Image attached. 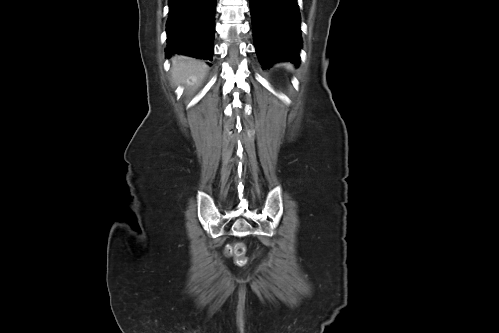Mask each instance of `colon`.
I'll return each mask as SVG.
<instances>
[{
	"label": "colon",
	"mask_w": 499,
	"mask_h": 333,
	"mask_svg": "<svg viewBox=\"0 0 499 333\" xmlns=\"http://www.w3.org/2000/svg\"><path fill=\"white\" fill-rule=\"evenodd\" d=\"M245 251V246L242 243H235L228 246L226 249V253L230 256H233L239 266H245L247 264Z\"/></svg>",
	"instance_id": "5ec220e1"
}]
</instances>
